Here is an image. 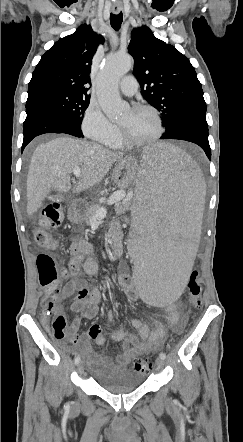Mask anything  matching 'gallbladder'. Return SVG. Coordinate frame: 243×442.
Wrapping results in <instances>:
<instances>
[{"label": "gallbladder", "instance_id": "gallbladder-1", "mask_svg": "<svg viewBox=\"0 0 243 442\" xmlns=\"http://www.w3.org/2000/svg\"><path fill=\"white\" fill-rule=\"evenodd\" d=\"M46 198L47 199H56L59 202V201H64L67 197L62 193H48Z\"/></svg>", "mask_w": 243, "mask_h": 442}]
</instances>
